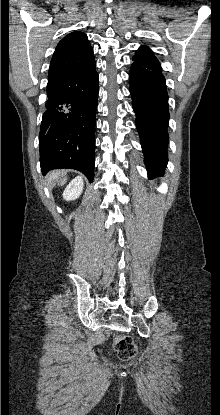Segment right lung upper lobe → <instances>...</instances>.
Listing matches in <instances>:
<instances>
[{"instance_id":"right-lung-upper-lobe-1","label":"right lung upper lobe","mask_w":220,"mask_h":415,"mask_svg":"<svg viewBox=\"0 0 220 415\" xmlns=\"http://www.w3.org/2000/svg\"><path fill=\"white\" fill-rule=\"evenodd\" d=\"M93 60V49L86 34L74 31L58 43L50 63L48 79L74 71Z\"/></svg>"}]
</instances>
